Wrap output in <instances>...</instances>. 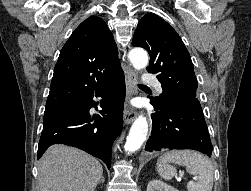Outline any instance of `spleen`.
I'll return each mask as SVG.
<instances>
[{"label": "spleen", "instance_id": "3e777b00", "mask_svg": "<svg viewBox=\"0 0 251 191\" xmlns=\"http://www.w3.org/2000/svg\"><path fill=\"white\" fill-rule=\"evenodd\" d=\"M169 163L186 165L188 173L197 175L196 181H188V191H212L213 187V165L208 157L194 151V149H172L165 151L157 159V167L161 177L172 179L176 175V167Z\"/></svg>", "mask_w": 251, "mask_h": 191}]
</instances>
